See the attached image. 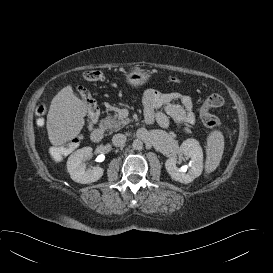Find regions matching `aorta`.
<instances>
[{
    "label": "aorta",
    "mask_w": 273,
    "mask_h": 273,
    "mask_svg": "<svg viewBox=\"0 0 273 273\" xmlns=\"http://www.w3.org/2000/svg\"><path fill=\"white\" fill-rule=\"evenodd\" d=\"M132 146L134 149H141L143 147V142L140 139H135Z\"/></svg>",
    "instance_id": "aorta-1"
}]
</instances>
